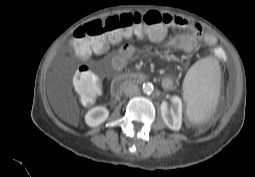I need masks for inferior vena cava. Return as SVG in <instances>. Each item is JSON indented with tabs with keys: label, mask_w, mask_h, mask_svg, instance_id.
<instances>
[{
	"label": "inferior vena cava",
	"mask_w": 255,
	"mask_h": 177,
	"mask_svg": "<svg viewBox=\"0 0 255 177\" xmlns=\"http://www.w3.org/2000/svg\"><path fill=\"white\" fill-rule=\"evenodd\" d=\"M138 92H139V88L137 85H134V84H129L124 89V93L127 96L136 95Z\"/></svg>",
	"instance_id": "obj_1"
}]
</instances>
